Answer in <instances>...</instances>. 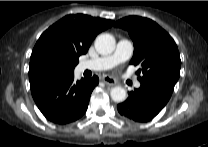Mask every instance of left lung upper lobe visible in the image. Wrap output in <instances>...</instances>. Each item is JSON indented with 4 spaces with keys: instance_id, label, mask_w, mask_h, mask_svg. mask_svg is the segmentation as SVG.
<instances>
[{
    "instance_id": "left-lung-upper-lobe-1",
    "label": "left lung upper lobe",
    "mask_w": 208,
    "mask_h": 147,
    "mask_svg": "<svg viewBox=\"0 0 208 147\" xmlns=\"http://www.w3.org/2000/svg\"><path fill=\"white\" fill-rule=\"evenodd\" d=\"M115 26L128 31L134 43L131 64L140 65V83H157L168 89L180 76L181 60L173 38L154 21L139 16L120 19Z\"/></svg>"
}]
</instances>
